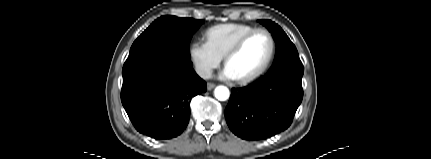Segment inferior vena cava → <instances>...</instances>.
Returning <instances> with one entry per match:
<instances>
[{"label": "inferior vena cava", "instance_id": "602c4592", "mask_svg": "<svg viewBox=\"0 0 431 159\" xmlns=\"http://www.w3.org/2000/svg\"><path fill=\"white\" fill-rule=\"evenodd\" d=\"M196 73L203 79H210L212 77V70L209 67L197 66Z\"/></svg>", "mask_w": 431, "mask_h": 159}]
</instances>
